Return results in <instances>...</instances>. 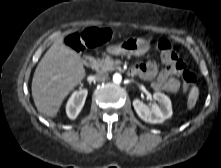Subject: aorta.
<instances>
[{"mask_svg": "<svg viewBox=\"0 0 221 168\" xmlns=\"http://www.w3.org/2000/svg\"><path fill=\"white\" fill-rule=\"evenodd\" d=\"M113 81L114 83H120L122 81V76L119 73H115L113 75Z\"/></svg>", "mask_w": 221, "mask_h": 168, "instance_id": "762f6f07", "label": "aorta"}]
</instances>
